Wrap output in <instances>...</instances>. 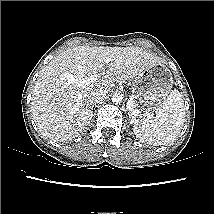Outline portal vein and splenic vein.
I'll use <instances>...</instances> for the list:
<instances>
[{
  "instance_id": "1",
  "label": "portal vein and splenic vein",
  "mask_w": 214,
  "mask_h": 214,
  "mask_svg": "<svg viewBox=\"0 0 214 214\" xmlns=\"http://www.w3.org/2000/svg\"><path fill=\"white\" fill-rule=\"evenodd\" d=\"M111 61V58L109 57H106L104 59V62L105 63H109ZM71 83H74V84H77L78 86L80 87H85L86 85H88L89 83H92V82H95L99 77H100V74H94L88 78H85V79H80V78H76L74 77L73 75H66L65 76ZM127 107L132 110L133 109V102L132 100H128L127 102ZM138 113V111H133V114L136 116Z\"/></svg>"
}]
</instances>
